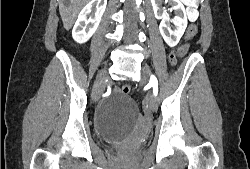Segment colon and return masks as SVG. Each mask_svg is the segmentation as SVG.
<instances>
[{"label":"colon","mask_w":250,"mask_h":169,"mask_svg":"<svg viewBox=\"0 0 250 169\" xmlns=\"http://www.w3.org/2000/svg\"><path fill=\"white\" fill-rule=\"evenodd\" d=\"M196 32H197V23H188L185 38L186 39L194 38V35L196 34ZM178 49L180 48H175L170 52V54L166 55V58L170 59L169 66H176V62L180 55L178 54ZM130 89H131L130 85H123L121 91L122 93H129Z\"/></svg>","instance_id":"1"}]
</instances>
